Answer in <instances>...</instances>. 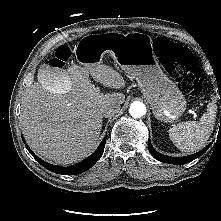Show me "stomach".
I'll use <instances>...</instances> for the list:
<instances>
[{
    "label": "stomach",
    "mask_w": 221,
    "mask_h": 221,
    "mask_svg": "<svg viewBox=\"0 0 221 221\" xmlns=\"http://www.w3.org/2000/svg\"><path fill=\"white\" fill-rule=\"evenodd\" d=\"M78 62L92 69L105 55L135 78L150 103L155 118L174 122L186 110V100L177 85L167 78L152 50V38L140 32H107L84 38Z\"/></svg>",
    "instance_id": "1"
}]
</instances>
